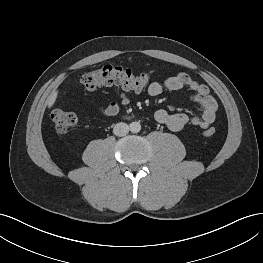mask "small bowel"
I'll use <instances>...</instances> for the list:
<instances>
[{
	"label": "small bowel",
	"instance_id": "small-bowel-1",
	"mask_svg": "<svg viewBox=\"0 0 263 263\" xmlns=\"http://www.w3.org/2000/svg\"><path fill=\"white\" fill-rule=\"evenodd\" d=\"M188 88L194 93V102L199 108L200 114L191 116L186 113H171L165 109H159L155 112V120L162 125L167 126L171 131H180L187 125H193L202 129L208 128L216 118L217 102L210 95L209 89L204 84L199 83L186 73H178L165 80H156L152 82L147 92L150 96H158L164 90L178 91ZM120 103L111 102L109 104H99V112L107 117L117 115L122 106L129 103V98L125 92H121Z\"/></svg>",
	"mask_w": 263,
	"mask_h": 263
}]
</instances>
